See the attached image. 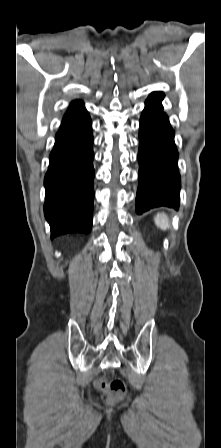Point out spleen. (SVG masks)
I'll return each mask as SVG.
<instances>
[{"instance_id":"3e777b00","label":"spleen","mask_w":221,"mask_h":448,"mask_svg":"<svg viewBox=\"0 0 221 448\" xmlns=\"http://www.w3.org/2000/svg\"><path fill=\"white\" fill-rule=\"evenodd\" d=\"M155 224L162 230H167L170 228V223L167 215L165 213H158L154 218Z\"/></svg>"}]
</instances>
